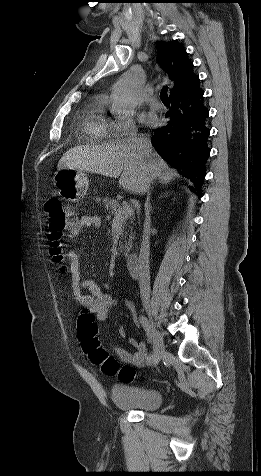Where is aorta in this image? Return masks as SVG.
Masks as SVG:
<instances>
[{"mask_svg":"<svg viewBox=\"0 0 261 476\" xmlns=\"http://www.w3.org/2000/svg\"><path fill=\"white\" fill-rule=\"evenodd\" d=\"M139 81L137 73H129L117 82L112 95V109L116 114L129 115L134 111L139 95Z\"/></svg>","mask_w":261,"mask_h":476,"instance_id":"obj_1","label":"aorta"}]
</instances>
